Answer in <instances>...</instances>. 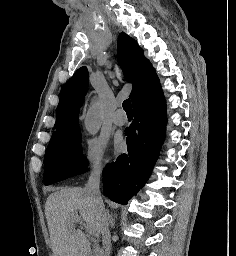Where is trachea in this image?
Masks as SVG:
<instances>
[{"label": "trachea", "mask_w": 236, "mask_h": 256, "mask_svg": "<svg viewBox=\"0 0 236 256\" xmlns=\"http://www.w3.org/2000/svg\"><path fill=\"white\" fill-rule=\"evenodd\" d=\"M123 110H125L126 113H133L131 101L129 100V98L128 100L123 101Z\"/></svg>", "instance_id": "3493384b"}]
</instances>
